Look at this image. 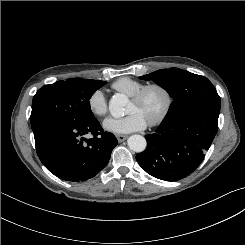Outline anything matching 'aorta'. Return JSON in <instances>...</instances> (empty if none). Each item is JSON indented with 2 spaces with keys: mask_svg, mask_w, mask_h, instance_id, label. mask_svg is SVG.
Instances as JSON below:
<instances>
[{
  "mask_svg": "<svg viewBox=\"0 0 245 245\" xmlns=\"http://www.w3.org/2000/svg\"><path fill=\"white\" fill-rule=\"evenodd\" d=\"M128 104V98L123 94H115L109 102V110L113 117L120 118L124 116L125 107ZM128 146L132 151L143 152L147 142L142 135H132L127 140Z\"/></svg>",
  "mask_w": 245,
  "mask_h": 245,
  "instance_id": "1",
  "label": "aorta"
}]
</instances>
